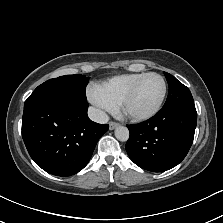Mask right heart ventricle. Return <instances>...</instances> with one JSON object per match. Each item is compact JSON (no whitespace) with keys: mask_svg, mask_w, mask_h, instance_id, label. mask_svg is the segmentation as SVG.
<instances>
[{"mask_svg":"<svg viewBox=\"0 0 223 223\" xmlns=\"http://www.w3.org/2000/svg\"><path fill=\"white\" fill-rule=\"evenodd\" d=\"M145 72L125 73L116 75L109 80L98 84L103 95L116 107L127 91L141 78Z\"/></svg>","mask_w":223,"mask_h":223,"instance_id":"1","label":"right heart ventricle"}]
</instances>
